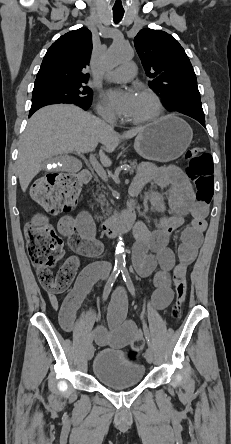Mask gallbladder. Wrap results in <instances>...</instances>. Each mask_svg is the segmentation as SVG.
Segmentation results:
<instances>
[{
  "instance_id": "gallbladder-1",
  "label": "gallbladder",
  "mask_w": 231,
  "mask_h": 444,
  "mask_svg": "<svg viewBox=\"0 0 231 444\" xmlns=\"http://www.w3.org/2000/svg\"><path fill=\"white\" fill-rule=\"evenodd\" d=\"M58 161H61V162H64L65 161V159H63V158H61V157H56V158H53V159H49V160H46L44 163H43V165L45 164V163H47V162H58ZM66 169V167H57L56 168V170H65Z\"/></svg>"
}]
</instances>
